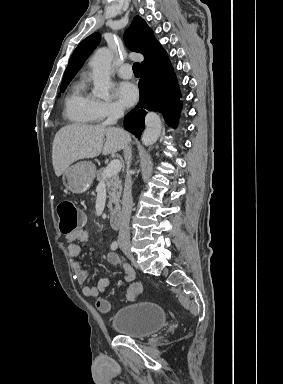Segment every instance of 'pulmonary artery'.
Segmentation results:
<instances>
[{
  "label": "pulmonary artery",
  "instance_id": "e3ab8cb5",
  "mask_svg": "<svg viewBox=\"0 0 283 384\" xmlns=\"http://www.w3.org/2000/svg\"><path fill=\"white\" fill-rule=\"evenodd\" d=\"M118 76L124 79L132 77V67L129 64H125L118 69Z\"/></svg>",
  "mask_w": 283,
  "mask_h": 384
}]
</instances>
